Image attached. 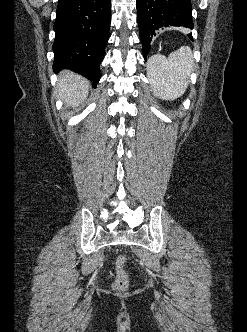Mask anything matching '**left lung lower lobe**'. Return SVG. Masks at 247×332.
I'll return each instance as SVG.
<instances>
[{
  "instance_id": "obj_1",
  "label": "left lung lower lobe",
  "mask_w": 247,
  "mask_h": 332,
  "mask_svg": "<svg viewBox=\"0 0 247 332\" xmlns=\"http://www.w3.org/2000/svg\"><path fill=\"white\" fill-rule=\"evenodd\" d=\"M136 7L144 57L151 49L152 40L163 27H194L190 0H136ZM188 37L192 39L191 34Z\"/></svg>"
}]
</instances>
